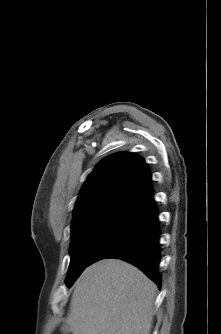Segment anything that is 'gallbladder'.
<instances>
[{
    "label": "gallbladder",
    "mask_w": 221,
    "mask_h": 334,
    "mask_svg": "<svg viewBox=\"0 0 221 334\" xmlns=\"http://www.w3.org/2000/svg\"><path fill=\"white\" fill-rule=\"evenodd\" d=\"M61 331L63 332V334H68L70 333L71 330H70L69 325L65 324L61 327Z\"/></svg>",
    "instance_id": "gallbladder-1"
}]
</instances>
